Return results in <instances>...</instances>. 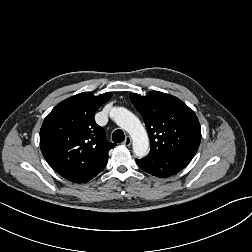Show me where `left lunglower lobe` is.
Instances as JSON below:
<instances>
[{
	"label": "left lung lower lobe",
	"mask_w": 252,
	"mask_h": 252,
	"mask_svg": "<svg viewBox=\"0 0 252 252\" xmlns=\"http://www.w3.org/2000/svg\"><path fill=\"white\" fill-rule=\"evenodd\" d=\"M192 158L183 155H160L136 160L140 168L157 177H168L185 168Z\"/></svg>",
	"instance_id": "0a47b994"
}]
</instances>
